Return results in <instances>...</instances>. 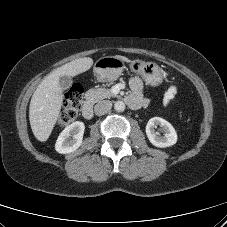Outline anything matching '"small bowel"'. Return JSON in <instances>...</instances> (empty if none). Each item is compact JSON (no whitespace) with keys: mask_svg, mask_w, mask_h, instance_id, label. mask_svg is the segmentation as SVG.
<instances>
[{"mask_svg":"<svg viewBox=\"0 0 227 227\" xmlns=\"http://www.w3.org/2000/svg\"><path fill=\"white\" fill-rule=\"evenodd\" d=\"M130 87L132 90L131 95L128 98V103L132 108H138L145 106L148 103V100L143 96V84L137 79L133 78L130 81ZM177 93V88L171 86L163 96V104L168 105L175 97Z\"/></svg>","mask_w":227,"mask_h":227,"instance_id":"obj_1","label":"small bowel"}]
</instances>
